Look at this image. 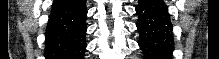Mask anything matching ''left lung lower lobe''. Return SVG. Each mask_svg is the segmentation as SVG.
I'll return each mask as SVG.
<instances>
[{
    "mask_svg": "<svg viewBox=\"0 0 219 59\" xmlns=\"http://www.w3.org/2000/svg\"><path fill=\"white\" fill-rule=\"evenodd\" d=\"M139 46L144 59H171L174 50L172 24L162 0H140L136 7Z\"/></svg>",
    "mask_w": 219,
    "mask_h": 59,
    "instance_id": "1",
    "label": "left lung lower lobe"
}]
</instances>
